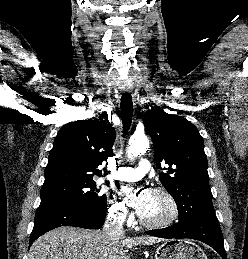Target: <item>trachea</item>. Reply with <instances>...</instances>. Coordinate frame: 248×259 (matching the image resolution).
<instances>
[{"label":"trachea","instance_id":"obj_1","mask_svg":"<svg viewBox=\"0 0 248 259\" xmlns=\"http://www.w3.org/2000/svg\"><path fill=\"white\" fill-rule=\"evenodd\" d=\"M132 116H133L132 96L129 93H124L121 97V119L123 122L124 134L129 130L131 126Z\"/></svg>","mask_w":248,"mask_h":259}]
</instances>
